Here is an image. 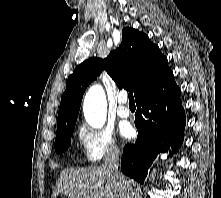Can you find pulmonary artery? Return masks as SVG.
I'll list each match as a JSON object with an SVG mask.
<instances>
[{"mask_svg": "<svg viewBox=\"0 0 221 198\" xmlns=\"http://www.w3.org/2000/svg\"><path fill=\"white\" fill-rule=\"evenodd\" d=\"M119 106L117 108V114L121 118H128L131 115V111L127 105V94L121 93L118 96Z\"/></svg>", "mask_w": 221, "mask_h": 198, "instance_id": "obj_1", "label": "pulmonary artery"}]
</instances>
